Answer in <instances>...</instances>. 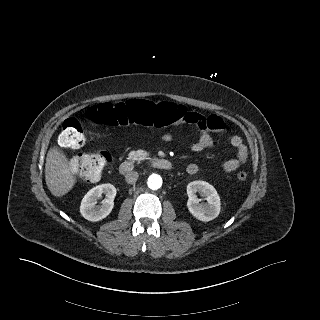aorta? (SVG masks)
<instances>
[{
	"label": "aorta",
	"mask_w": 320,
	"mask_h": 320,
	"mask_svg": "<svg viewBox=\"0 0 320 320\" xmlns=\"http://www.w3.org/2000/svg\"><path fill=\"white\" fill-rule=\"evenodd\" d=\"M147 184L151 190H158L162 186V178L158 174H152L149 176Z\"/></svg>",
	"instance_id": "762f6f07"
}]
</instances>
